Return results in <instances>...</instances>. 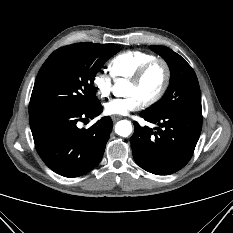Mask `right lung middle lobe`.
<instances>
[{
    "mask_svg": "<svg viewBox=\"0 0 233 233\" xmlns=\"http://www.w3.org/2000/svg\"><path fill=\"white\" fill-rule=\"evenodd\" d=\"M119 51L116 44L87 42L54 51L36 77L29 115L90 108L98 100L93 87L97 72Z\"/></svg>",
    "mask_w": 233,
    "mask_h": 233,
    "instance_id": "dd1d6c3e",
    "label": "right lung middle lobe"
}]
</instances>
